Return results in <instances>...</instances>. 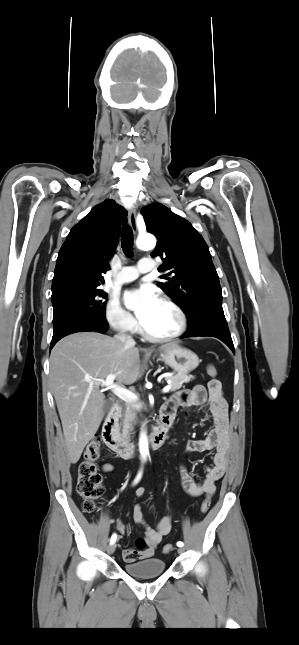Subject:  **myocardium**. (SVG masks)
<instances>
[{"instance_id": "1", "label": "myocardium", "mask_w": 299, "mask_h": 645, "mask_svg": "<svg viewBox=\"0 0 299 645\" xmlns=\"http://www.w3.org/2000/svg\"><path fill=\"white\" fill-rule=\"evenodd\" d=\"M159 301H161L162 303H164L167 306H169L176 313L177 318H178V326H177L176 330L174 332L170 333V334H167V335H153V334L147 332L144 329V327L142 326V324H141L140 327H139V331H140L141 335L144 338H146L147 340L152 341V342L172 341L174 339L179 338L180 336H182L185 333V331L187 329V316H186L184 310L175 301H173L171 298H169L167 296H161L159 298Z\"/></svg>"}]
</instances>
